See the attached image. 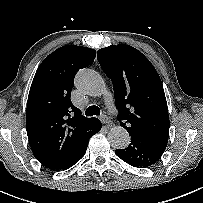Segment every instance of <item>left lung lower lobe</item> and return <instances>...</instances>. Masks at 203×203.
I'll list each match as a JSON object with an SVG mask.
<instances>
[{
    "instance_id": "0a47b994",
    "label": "left lung lower lobe",
    "mask_w": 203,
    "mask_h": 203,
    "mask_svg": "<svg viewBox=\"0 0 203 203\" xmlns=\"http://www.w3.org/2000/svg\"><path fill=\"white\" fill-rule=\"evenodd\" d=\"M131 143L125 149L116 150V155L128 164L145 168L155 164L162 156L166 146L158 145L139 136L130 135Z\"/></svg>"
}]
</instances>
